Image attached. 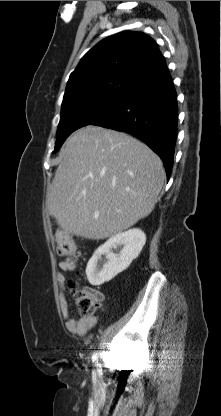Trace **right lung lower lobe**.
Here are the masks:
<instances>
[{"mask_svg": "<svg viewBox=\"0 0 221 416\" xmlns=\"http://www.w3.org/2000/svg\"><path fill=\"white\" fill-rule=\"evenodd\" d=\"M177 99L168 71L158 83L130 92L105 118L93 125L126 132L145 142L171 175L177 137Z\"/></svg>", "mask_w": 221, "mask_h": 416, "instance_id": "1", "label": "right lung lower lobe"}]
</instances>
